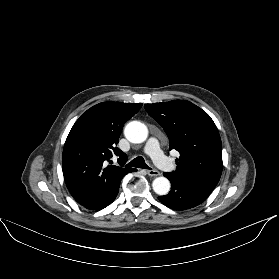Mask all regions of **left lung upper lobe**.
Segmentation results:
<instances>
[{
	"label": "left lung upper lobe",
	"mask_w": 279,
	"mask_h": 279,
	"mask_svg": "<svg viewBox=\"0 0 279 279\" xmlns=\"http://www.w3.org/2000/svg\"><path fill=\"white\" fill-rule=\"evenodd\" d=\"M144 107L166 132L169 149L180 153L176 170L167 175L210 194L223 168L221 139L211 117L186 100L145 104Z\"/></svg>",
	"instance_id": "obj_1"
}]
</instances>
